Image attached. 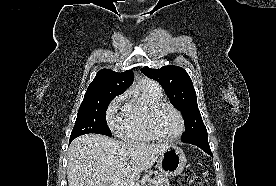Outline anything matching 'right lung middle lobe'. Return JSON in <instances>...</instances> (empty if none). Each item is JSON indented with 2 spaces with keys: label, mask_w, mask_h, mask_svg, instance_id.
<instances>
[{
  "label": "right lung middle lobe",
  "mask_w": 276,
  "mask_h": 186,
  "mask_svg": "<svg viewBox=\"0 0 276 186\" xmlns=\"http://www.w3.org/2000/svg\"><path fill=\"white\" fill-rule=\"evenodd\" d=\"M119 94L109 91L86 92L70 138L88 133L112 136L106 122V110L109 102Z\"/></svg>",
  "instance_id": "1"
}]
</instances>
